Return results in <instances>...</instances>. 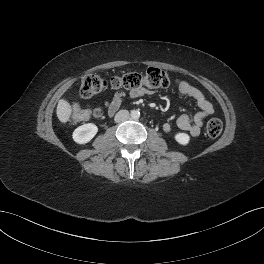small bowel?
I'll return each instance as SVG.
<instances>
[{"instance_id": "obj_1", "label": "small bowel", "mask_w": 264, "mask_h": 264, "mask_svg": "<svg viewBox=\"0 0 264 264\" xmlns=\"http://www.w3.org/2000/svg\"><path fill=\"white\" fill-rule=\"evenodd\" d=\"M178 90L195 100L197 106L199 107V111L191 118L188 114H183L177 119V127L189 134L191 137H197L200 132L201 128L204 124V120L206 117L212 115L214 113V107L212 103L206 98L201 90L192 86L186 81L179 80L177 81ZM146 93L144 89L140 90H132L130 92V96L135 98L142 96ZM125 98V93L122 91H117L113 95L111 100L104 102V107L107 110L109 115L114 114L118 108L120 107L122 101ZM163 131L168 133L171 131L172 127L171 124L165 123L163 124Z\"/></svg>"}]
</instances>
